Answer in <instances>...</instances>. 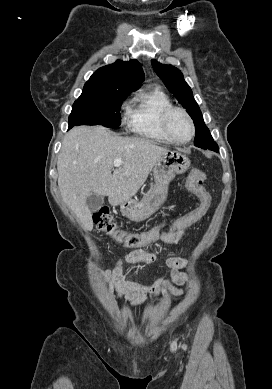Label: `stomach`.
<instances>
[{
	"label": "stomach",
	"mask_w": 272,
	"mask_h": 389,
	"mask_svg": "<svg viewBox=\"0 0 272 389\" xmlns=\"http://www.w3.org/2000/svg\"><path fill=\"white\" fill-rule=\"evenodd\" d=\"M189 167L190 160L186 155L168 151L153 168L154 185L140 201L129 199L120 204L122 214L133 221L149 218L165 202L169 183Z\"/></svg>",
	"instance_id": "1"
}]
</instances>
